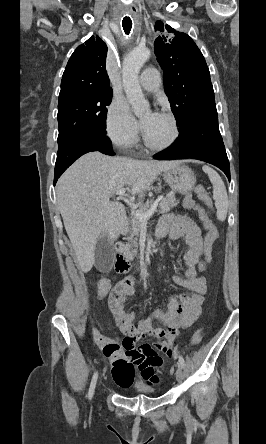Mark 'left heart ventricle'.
<instances>
[{"mask_svg":"<svg viewBox=\"0 0 266 444\" xmlns=\"http://www.w3.org/2000/svg\"><path fill=\"white\" fill-rule=\"evenodd\" d=\"M150 114H145L142 121L147 119ZM148 138L153 144H165L173 134V127L171 121L162 114H158L154 120L144 128Z\"/></svg>","mask_w":266,"mask_h":444,"instance_id":"obj_1","label":"left heart ventricle"}]
</instances>
